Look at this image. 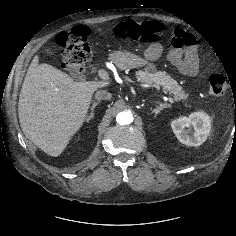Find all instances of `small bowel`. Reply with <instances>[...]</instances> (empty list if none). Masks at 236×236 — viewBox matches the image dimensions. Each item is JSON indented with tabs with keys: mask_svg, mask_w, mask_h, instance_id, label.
Segmentation results:
<instances>
[{
	"mask_svg": "<svg viewBox=\"0 0 236 236\" xmlns=\"http://www.w3.org/2000/svg\"><path fill=\"white\" fill-rule=\"evenodd\" d=\"M163 53L164 46L161 43H154L145 50L143 57L146 61H156ZM166 54L181 74L189 77L197 75L199 71L197 40L192 33L182 29L175 30L171 47Z\"/></svg>",
	"mask_w": 236,
	"mask_h": 236,
	"instance_id": "obj_1",
	"label": "small bowel"
}]
</instances>
